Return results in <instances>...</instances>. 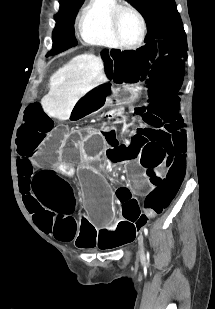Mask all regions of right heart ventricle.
Here are the masks:
<instances>
[{"instance_id": "right-heart-ventricle-1", "label": "right heart ventricle", "mask_w": 215, "mask_h": 309, "mask_svg": "<svg viewBox=\"0 0 215 309\" xmlns=\"http://www.w3.org/2000/svg\"><path fill=\"white\" fill-rule=\"evenodd\" d=\"M112 24L108 9H95L94 14H88L87 19H81L84 41L91 45L116 48L112 43L115 40Z\"/></svg>"}]
</instances>
